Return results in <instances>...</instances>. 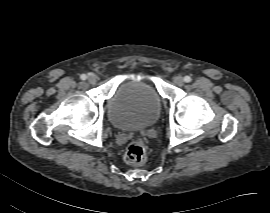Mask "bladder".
Segmentation results:
<instances>
[{
	"mask_svg": "<svg viewBox=\"0 0 270 213\" xmlns=\"http://www.w3.org/2000/svg\"><path fill=\"white\" fill-rule=\"evenodd\" d=\"M162 108V99L155 87L142 78L120 82L111 93L106 108L109 122L123 130L153 125Z\"/></svg>",
	"mask_w": 270,
	"mask_h": 213,
	"instance_id": "31cf9c89",
	"label": "bladder"
}]
</instances>
